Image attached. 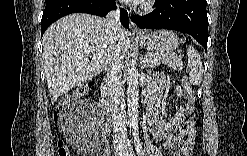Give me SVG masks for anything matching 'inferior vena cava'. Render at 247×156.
I'll return each mask as SVG.
<instances>
[{
  "mask_svg": "<svg viewBox=\"0 0 247 156\" xmlns=\"http://www.w3.org/2000/svg\"><path fill=\"white\" fill-rule=\"evenodd\" d=\"M105 21L106 32L115 40L121 29L119 10L110 11ZM105 71L107 74L109 106L112 114L113 132L115 137L124 139L126 137V111L121 82V58L117 52L108 56Z\"/></svg>",
  "mask_w": 247,
  "mask_h": 156,
  "instance_id": "inferior-vena-cava-1",
  "label": "inferior vena cava"
}]
</instances>
